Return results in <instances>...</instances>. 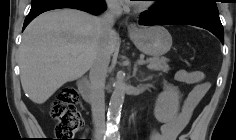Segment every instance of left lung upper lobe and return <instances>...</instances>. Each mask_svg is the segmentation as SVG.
Wrapping results in <instances>:
<instances>
[{
	"label": "left lung upper lobe",
	"instance_id": "5c2ea615",
	"mask_svg": "<svg viewBox=\"0 0 236 140\" xmlns=\"http://www.w3.org/2000/svg\"><path fill=\"white\" fill-rule=\"evenodd\" d=\"M155 8H162L165 12L198 10L218 14L216 0H160Z\"/></svg>",
	"mask_w": 236,
	"mask_h": 140
}]
</instances>
